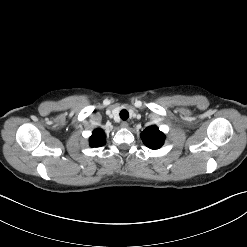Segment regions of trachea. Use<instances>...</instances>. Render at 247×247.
<instances>
[{
  "mask_svg": "<svg viewBox=\"0 0 247 247\" xmlns=\"http://www.w3.org/2000/svg\"><path fill=\"white\" fill-rule=\"evenodd\" d=\"M128 117H129V113H128L127 110L123 109V110L120 111V118H121L122 120L125 121V120L128 119Z\"/></svg>",
  "mask_w": 247,
  "mask_h": 247,
  "instance_id": "3493384b",
  "label": "trachea"
}]
</instances>
